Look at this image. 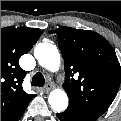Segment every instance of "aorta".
Here are the masks:
<instances>
[{
	"instance_id": "1",
	"label": "aorta",
	"mask_w": 121,
	"mask_h": 121,
	"mask_svg": "<svg viewBox=\"0 0 121 121\" xmlns=\"http://www.w3.org/2000/svg\"><path fill=\"white\" fill-rule=\"evenodd\" d=\"M34 56L38 63L49 71H57L60 66V54L55 45L39 43L34 49ZM51 108L56 112L64 111L68 106V96L64 90L55 89L48 97Z\"/></svg>"
}]
</instances>
